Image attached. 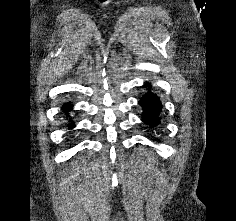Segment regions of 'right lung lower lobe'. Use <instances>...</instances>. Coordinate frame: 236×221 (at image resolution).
<instances>
[{
	"mask_svg": "<svg viewBox=\"0 0 236 221\" xmlns=\"http://www.w3.org/2000/svg\"><path fill=\"white\" fill-rule=\"evenodd\" d=\"M66 115H68V111H70V109H72V106L70 105V103H66L63 108H62ZM68 127H70L71 129L74 127L73 124H70Z\"/></svg>",
	"mask_w": 236,
	"mask_h": 221,
	"instance_id": "obj_1",
	"label": "right lung lower lobe"
}]
</instances>
